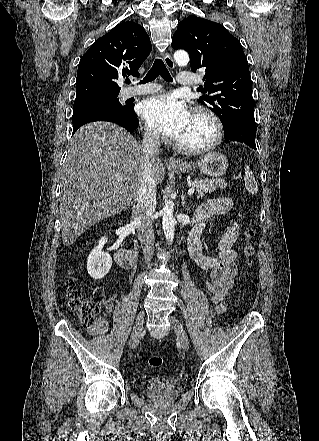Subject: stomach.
<instances>
[{"label": "stomach", "instance_id": "stomach-1", "mask_svg": "<svg viewBox=\"0 0 319 441\" xmlns=\"http://www.w3.org/2000/svg\"><path fill=\"white\" fill-rule=\"evenodd\" d=\"M196 167H198L202 173L210 177H220L228 168V160L220 153L211 152L202 156L197 161V164L185 163L181 167H173V170L180 173H186L194 170Z\"/></svg>", "mask_w": 319, "mask_h": 441}]
</instances>
